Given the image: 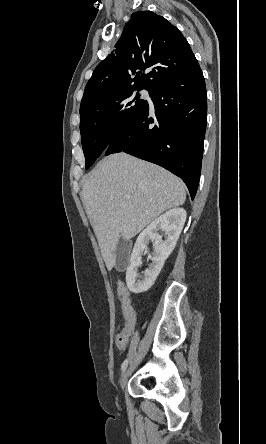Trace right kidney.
I'll list each match as a JSON object with an SVG mask.
<instances>
[{"mask_svg":"<svg viewBox=\"0 0 266 444\" xmlns=\"http://www.w3.org/2000/svg\"><path fill=\"white\" fill-rule=\"evenodd\" d=\"M186 221V211L175 208L167 211L155 219L138 236L130 257V265L126 271V284L135 294L151 288L159 275L165 260L172 253ZM159 231L165 232V240ZM153 243V255L150 258L149 269L145 270L144 277L137 280V270L141 264L142 255L148 252L147 245Z\"/></svg>","mask_w":266,"mask_h":444,"instance_id":"ca27d5eb","label":"right kidney"}]
</instances>
